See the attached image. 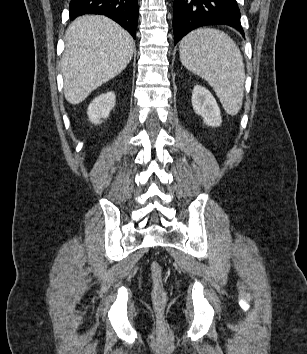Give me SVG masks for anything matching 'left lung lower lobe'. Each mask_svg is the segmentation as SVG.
<instances>
[{
    "label": "left lung lower lobe",
    "instance_id": "obj_1",
    "mask_svg": "<svg viewBox=\"0 0 307 354\" xmlns=\"http://www.w3.org/2000/svg\"><path fill=\"white\" fill-rule=\"evenodd\" d=\"M206 25H228L244 35L236 0H174L175 44L193 29Z\"/></svg>",
    "mask_w": 307,
    "mask_h": 354
}]
</instances>
